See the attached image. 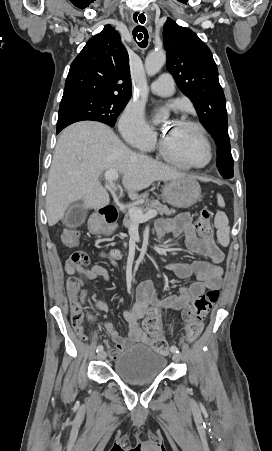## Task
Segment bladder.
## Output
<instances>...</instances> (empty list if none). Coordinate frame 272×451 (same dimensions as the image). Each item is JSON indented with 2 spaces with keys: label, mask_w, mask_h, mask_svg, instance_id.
Wrapping results in <instances>:
<instances>
[{
  "label": "bladder",
  "mask_w": 272,
  "mask_h": 451,
  "mask_svg": "<svg viewBox=\"0 0 272 451\" xmlns=\"http://www.w3.org/2000/svg\"><path fill=\"white\" fill-rule=\"evenodd\" d=\"M166 364L162 353L148 346L134 345L116 358L113 371L125 383L150 384L161 375Z\"/></svg>",
  "instance_id": "31cf9c89"
}]
</instances>
